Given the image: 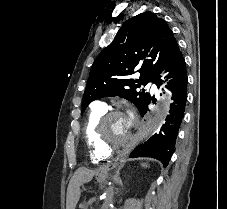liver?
<instances>
[{
  "label": "liver",
  "instance_id": "obj_1",
  "mask_svg": "<svg viewBox=\"0 0 227 209\" xmlns=\"http://www.w3.org/2000/svg\"><path fill=\"white\" fill-rule=\"evenodd\" d=\"M94 175V171H89V169H85V167H80L75 171L67 189V201H66V209H75L79 199H80V191L77 187V183L80 181H90Z\"/></svg>",
  "mask_w": 227,
  "mask_h": 209
}]
</instances>
